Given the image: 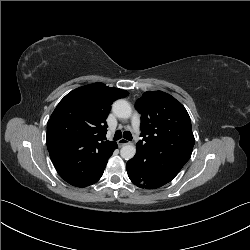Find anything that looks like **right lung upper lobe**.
Returning <instances> with one entry per match:
<instances>
[{"label": "right lung upper lobe", "mask_w": 250, "mask_h": 250, "mask_svg": "<svg viewBox=\"0 0 250 250\" xmlns=\"http://www.w3.org/2000/svg\"><path fill=\"white\" fill-rule=\"evenodd\" d=\"M128 92L93 83L68 93L53 111L46 143L59 175L69 184L86 187L97 182L118 147L106 140L110 105Z\"/></svg>", "instance_id": "1"}]
</instances>
